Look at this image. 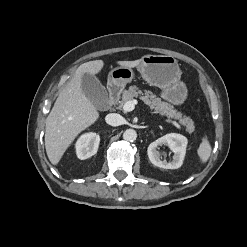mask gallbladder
Instances as JSON below:
<instances>
[{"instance_id":"gallbladder-1","label":"gallbladder","mask_w":247,"mask_h":247,"mask_svg":"<svg viewBox=\"0 0 247 247\" xmlns=\"http://www.w3.org/2000/svg\"><path fill=\"white\" fill-rule=\"evenodd\" d=\"M81 87L85 96L97 109H103L105 107L108 94L106 88L96 76L88 73L83 74Z\"/></svg>"}]
</instances>
